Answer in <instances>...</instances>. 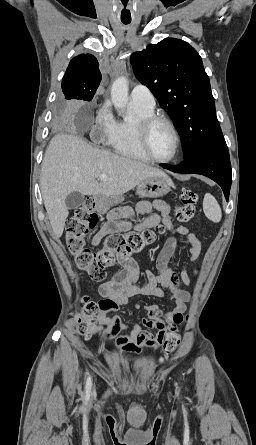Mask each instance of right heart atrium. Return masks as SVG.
<instances>
[{"label":"right heart atrium","mask_w":256,"mask_h":445,"mask_svg":"<svg viewBox=\"0 0 256 445\" xmlns=\"http://www.w3.org/2000/svg\"><path fill=\"white\" fill-rule=\"evenodd\" d=\"M116 121L108 104H103L96 113L92 137L98 142L108 141L114 131Z\"/></svg>","instance_id":"right-heart-atrium-1"}]
</instances>
